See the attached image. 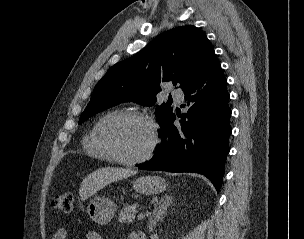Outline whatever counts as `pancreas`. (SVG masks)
I'll return each instance as SVG.
<instances>
[{
  "mask_svg": "<svg viewBox=\"0 0 304 239\" xmlns=\"http://www.w3.org/2000/svg\"><path fill=\"white\" fill-rule=\"evenodd\" d=\"M136 204L129 205L125 204L119 214V222L120 223H132L134 221L136 215Z\"/></svg>",
  "mask_w": 304,
  "mask_h": 239,
  "instance_id": "pancreas-1",
  "label": "pancreas"
}]
</instances>
